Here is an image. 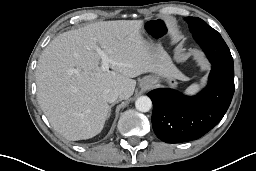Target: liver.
<instances>
[{
	"mask_svg": "<svg viewBox=\"0 0 256 171\" xmlns=\"http://www.w3.org/2000/svg\"><path fill=\"white\" fill-rule=\"evenodd\" d=\"M142 21L117 20L90 24L64 32L43 50L36 68L37 97L51 126L68 140L89 139L99 134L109 105L107 88L121 100L133 95L132 78L153 72V56L141 35ZM97 49L115 62L103 71ZM173 77L180 78L171 66Z\"/></svg>",
	"mask_w": 256,
	"mask_h": 171,
	"instance_id": "liver-1",
	"label": "liver"
}]
</instances>
